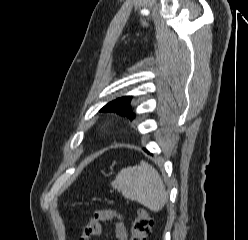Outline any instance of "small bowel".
Listing matches in <instances>:
<instances>
[{"mask_svg": "<svg viewBox=\"0 0 248 240\" xmlns=\"http://www.w3.org/2000/svg\"><path fill=\"white\" fill-rule=\"evenodd\" d=\"M100 221H109L112 223L115 236L118 240L128 239L124 216L115 209L104 208L94 213L93 218L83 228L77 240H90L94 237H100L103 234V227Z\"/></svg>", "mask_w": 248, "mask_h": 240, "instance_id": "c3829d8e", "label": "small bowel"}]
</instances>
